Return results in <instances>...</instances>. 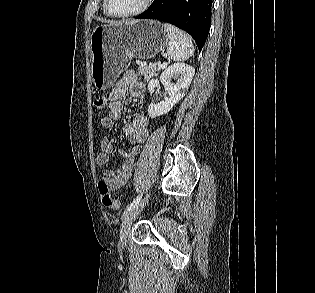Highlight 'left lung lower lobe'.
<instances>
[{"instance_id": "left-lung-lower-lobe-1", "label": "left lung lower lobe", "mask_w": 315, "mask_h": 293, "mask_svg": "<svg viewBox=\"0 0 315 293\" xmlns=\"http://www.w3.org/2000/svg\"><path fill=\"white\" fill-rule=\"evenodd\" d=\"M212 0H154L137 19H157L171 23L195 40L201 50L210 28Z\"/></svg>"}]
</instances>
